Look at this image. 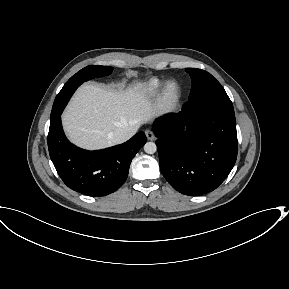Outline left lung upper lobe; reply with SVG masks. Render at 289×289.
I'll return each mask as SVG.
<instances>
[{"label":"left lung upper lobe","instance_id":"5c2ea615","mask_svg":"<svg viewBox=\"0 0 289 289\" xmlns=\"http://www.w3.org/2000/svg\"><path fill=\"white\" fill-rule=\"evenodd\" d=\"M185 70L192 79L189 101L215 100L232 104L224 88L210 73L196 68H186Z\"/></svg>","mask_w":289,"mask_h":289}]
</instances>
